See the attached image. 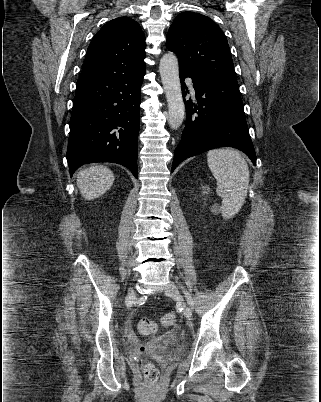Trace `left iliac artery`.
<instances>
[{"mask_svg":"<svg viewBox=\"0 0 321 402\" xmlns=\"http://www.w3.org/2000/svg\"><path fill=\"white\" fill-rule=\"evenodd\" d=\"M183 293H184V295L186 297V300H187L188 304L191 307H193L194 306V301H193V298H192L191 294L187 290H183Z\"/></svg>","mask_w":321,"mask_h":402,"instance_id":"obj_1","label":"left iliac artery"}]
</instances>
